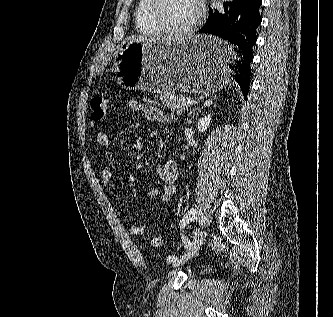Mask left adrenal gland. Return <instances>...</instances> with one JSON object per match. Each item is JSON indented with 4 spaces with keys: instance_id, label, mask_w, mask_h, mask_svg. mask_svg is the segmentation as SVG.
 I'll return each mask as SVG.
<instances>
[{
    "instance_id": "obj_1",
    "label": "left adrenal gland",
    "mask_w": 333,
    "mask_h": 317,
    "mask_svg": "<svg viewBox=\"0 0 333 317\" xmlns=\"http://www.w3.org/2000/svg\"><path fill=\"white\" fill-rule=\"evenodd\" d=\"M210 106H216V103L213 101V99H208L206 100L203 105L201 107L195 108L192 111H190V113L188 114V116H191L195 113V111L206 108V107H210Z\"/></svg>"
}]
</instances>
